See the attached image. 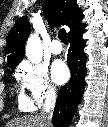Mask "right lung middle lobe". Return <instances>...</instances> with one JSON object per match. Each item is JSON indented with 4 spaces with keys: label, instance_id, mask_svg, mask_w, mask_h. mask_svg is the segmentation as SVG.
Segmentation results:
<instances>
[{
    "label": "right lung middle lobe",
    "instance_id": "dd1d6c3e",
    "mask_svg": "<svg viewBox=\"0 0 108 127\" xmlns=\"http://www.w3.org/2000/svg\"><path fill=\"white\" fill-rule=\"evenodd\" d=\"M16 65L9 66L10 68H14Z\"/></svg>",
    "mask_w": 108,
    "mask_h": 127
}]
</instances>
